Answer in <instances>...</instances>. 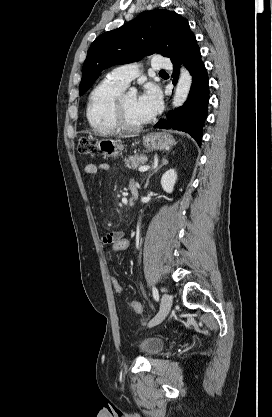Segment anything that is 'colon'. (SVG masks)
Here are the masks:
<instances>
[{"mask_svg": "<svg viewBox=\"0 0 272 417\" xmlns=\"http://www.w3.org/2000/svg\"><path fill=\"white\" fill-rule=\"evenodd\" d=\"M78 151L81 155L93 156L96 149L92 141L87 137H82L78 143ZM130 242L125 236L113 239L107 247L108 257L111 258L114 254L122 253L129 248ZM111 283L113 290L119 294H124L123 287L116 276H112ZM129 303L136 313H141V303L137 300H129Z\"/></svg>", "mask_w": 272, "mask_h": 417, "instance_id": "obj_1", "label": "colon"}]
</instances>
